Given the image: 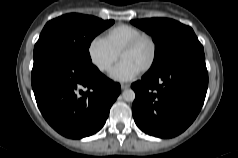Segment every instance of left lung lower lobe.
<instances>
[{
    "label": "left lung lower lobe",
    "instance_id": "0a47b994",
    "mask_svg": "<svg viewBox=\"0 0 238 158\" xmlns=\"http://www.w3.org/2000/svg\"><path fill=\"white\" fill-rule=\"evenodd\" d=\"M208 72L203 50L185 53L154 72H147L131 88L136 125L145 133L171 138L195 120L204 103Z\"/></svg>",
    "mask_w": 238,
    "mask_h": 158
}]
</instances>
